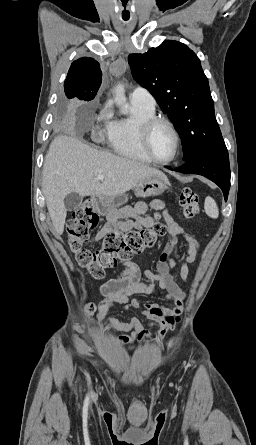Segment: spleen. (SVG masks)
Wrapping results in <instances>:
<instances>
[{
	"label": "spleen",
	"mask_w": 256,
	"mask_h": 445,
	"mask_svg": "<svg viewBox=\"0 0 256 445\" xmlns=\"http://www.w3.org/2000/svg\"><path fill=\"white\" fill-rule=\"evenodd\" d=\"M204 209H205L206 214L209 217L214 218V219L218 218L219 210H218L217 204L213 198H211L209 196L205 198Z\"/></svg>",
	"instance_id": "obj_1"
}]
</instances>
